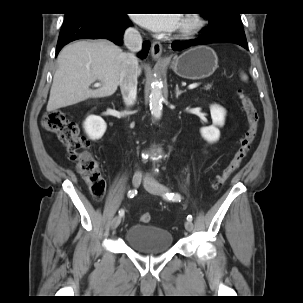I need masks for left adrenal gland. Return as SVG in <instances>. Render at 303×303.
I'll list each match as a JSON object with an SVG mask.
<instances>
[{
    "mask_svg": "<svg viewBox=\"0 0 303 303\" xmlns=\"http://www.w3.org/2000/svg\"><path fill=\"white\" fill-rule=\"evenodd\" d=\"M185 91H181L178 87V85H176V88H175V94H176V98L178 99V97L184 93Z\"/></svg>",
    "mask_w": 303,
    "mask_h": 303,
    "instance_id": "obj_1",
    "label": "left adrenal gland"
}]
</instances>
